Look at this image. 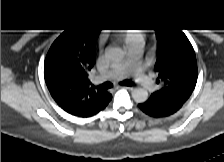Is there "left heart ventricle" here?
<instances>
[{"label": "left heart ventricle", "mask_w": 224, "mask_h": 162, "mask_svg": "<svg viewBox=\"0 0 224 162\" xmlns=\"http://www.w3.org/2000/svg\"><path fill=\"white\" fill-rule=\"evenodd\" d=\"M128 56V55H127ZM127 56H126V58H127ZM126 58L123 60V62L121 63V64H124L125 63V61H126Z\"/></svg>", "instance_id": "obj_1"}]
</instances>
